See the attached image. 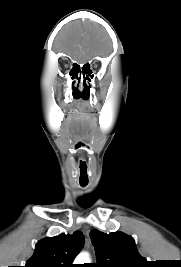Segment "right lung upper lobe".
Wrapping results in <instances>:
<instances>
[{
    "mask_svg": "<svg viewBox=\"0 0 181 267\" xmlns=\"http://www.w3.org/2000/svg\"><path fill=\"white\" fill-rule=\"evenodd\" d=\"M83 244L84 236L80 231L44 238L36 244L34 255L25 267H74L72 262Z\"/></svg>",
    "mask_w": 181,
    "mask_h": 267,
    "instance_id": "1",
    "label": "right lung upper lobe"
}]
</instances>
